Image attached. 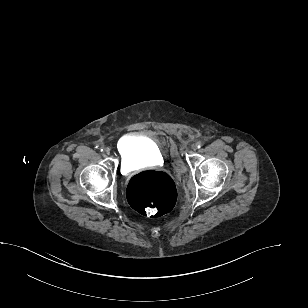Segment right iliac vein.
<instances>
[{
    "label": "right iliac vein",
    "instance_id": "63e3f726",
    "mask_svg": "<svg viewBox=\"0 0 308 308\" xmlns=\"http://www.w3.org/2000/svg\"><path fill=\"white\" fill-rule=\"evenodd\" d=\"M104 153H106V154H110V150H109V148H104Z\"/></svg>",
    "mask_w": 308,
    "mask_h": 308
}]
</instances>
